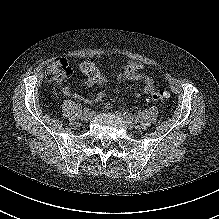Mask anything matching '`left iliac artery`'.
<instances>
[{
  "label": "left iliac artery",
  "instance_id": "obj_1",
  "mask_svg": "<svg viewBox=\"0 0 219 219\" xmlns=\"http://www.w3.org/2000/svg\"><path fill=\"white\" fill-rule=\"evenodd\" d=\"M125 115H126V117L129 118V119H132V120L134 119V117H133L130 113H125Z\"/></svg>",
  "mask_w": 219,
  "mask_h": 219
}]
</instances>
